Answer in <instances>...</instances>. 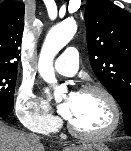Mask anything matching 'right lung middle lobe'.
Masks as SVG:
<instances>
[{
	"label": "right lung middle lobe",
	"mask_w": 131,
	"mask_h": 151,
	"mask_svg": "<svg viewBox=\"0 0 131 151\" xmlns=\"http://www.w3.org/2000/svg\"><path fill=\"white\" fill-rule=\"evenodd\" d=\"M17 68H0V108L13 109Z\"/></svg>",
	"instance_id": "obj_1"
}]
</instances>
